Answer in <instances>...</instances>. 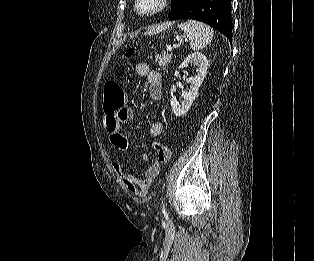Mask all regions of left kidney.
Here are the masks:
<instances>
[{
	"mask_svg": "<svg viewBox=\"0 0 314 261\" xmlns=\"http://www.w3.org/2000/svg\"><path fill=\"white\" fill-rule=\"evenodd\" d=\"M190 64L198 67L197 75L186 79L187 83L190 84V89L182 95L184 100L180 104H177L176 99H171L172 112L176 117H180L187 113L193 101L196 99L198 89L206 77L209 61L202 53L194 52L186 57V59L179 66V69L188 67ZM174 75L177 77L179 75V71L176 70Z\"/></svg>",
	"mask_w": 314,
	"mask_h": 261,
	"instance_id": "5707ae66",
	"label": "left kidney"
}]
</instances>
